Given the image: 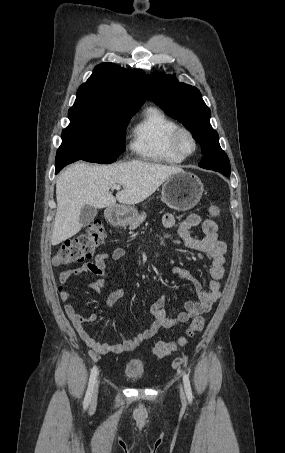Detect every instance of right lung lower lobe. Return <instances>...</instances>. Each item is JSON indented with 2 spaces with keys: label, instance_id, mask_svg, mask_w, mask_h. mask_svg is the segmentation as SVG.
Segmentation results:
<instances>
[{
  "label": "right lung lower lobe",
  "instance_id": "right-lung-lower-lobe-1",
  "mask_svg": "<svg viewBox=\"0 0 285 453\" xmlns=\"http://www.w3.org/2000/svg\"><path fill=\"white\" fill-rule=\"evenodd\" d=\"M74 162V159L67 155V154H64V155H60V154H56V160H55V163H56V172L55 173H58L64 166L70 164Z\"/></svg>",
  "mask_w": 285,
  "mask_h": 453
}]
</instances>
